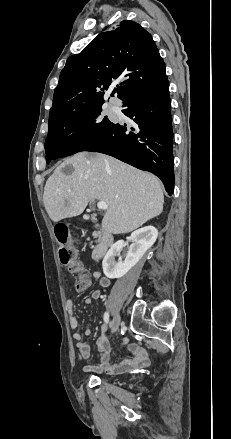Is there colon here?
<instances>
[{
  "label": "colon",
  "mask_w": 231,
  "mask_h": 439,
  "mask_svg": "<svg viewBox=\"0 0 231 439\" xmlns=\"http://www.w3.org/2000/svg\"><path fill=\"white\" fill-rule=\"evenodd\" d=\"M55 237L58 244V256L60 262L67 266L68 270L77 275L75 287L78 291H85L90 287V279L84 270L82 264L76 260L75 251L71 246L74 242L78 243L80 238L78 236H71L69 238L68 228L64 225L55 228ZM69 241L71 242L69 244Z\"/></svg>",
  "instance_id": "5ec220e1"
}]
</instances>
